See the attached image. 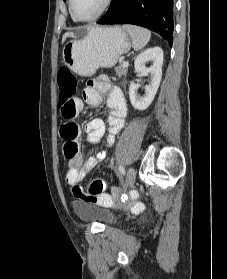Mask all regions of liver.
I'll use <instances>...</instances> for the list:
<instances>
[{"label": "liver", "mask_w": 227, "mask_h": 279, "mask_svg": "<svg viewBox=\"0 0 227 279\" xmlns=\"http://www.w3.org/2000/svg\"><path fill=\"white\" fill-rule=\"evenodd\" d=\"M73 33L72 32H66L63 37H62V43L68 38V37H72Z\"/></svg>", "instance_id": "1"}]
</instances>
